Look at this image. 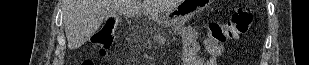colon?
<instances>
[{"label":"colon","mask_w":309,"mask_h":65,"mask_svg":"<svg viewBox=\"0 0 309 65\" xmlns=\"http://www.w3.org/2000/svg\"><path fill=\"white\" fill-rule=\"evenodd\" d=\"M254 20L251 9H237L228 23L213 22L207 25V35L210 40L223 43L235 40L247 33ZM117 31V24L109 21L92 40V47L100 57H105L111 49ZM82 65H92L91 60H86Z\"/></svg>","instance_id":"obj_1"}]
</instances>
